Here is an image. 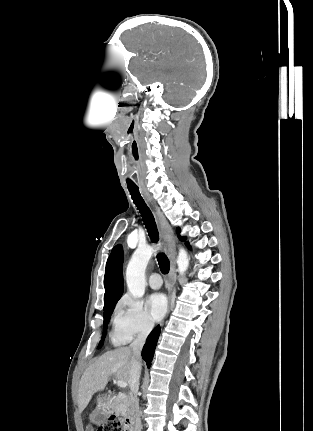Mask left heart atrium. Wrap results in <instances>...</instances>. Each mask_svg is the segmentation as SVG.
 I'll list each match as a JSON object with an SVG mask.
<instances>
[{
    "label": "left heart atrium",
    "instance_id": "1",
    "mask_svg": "<svg viewBox=\"0 0 313 431\" xmlns=\"http://www.w3.org/2000/svg\"><path fill=\"white\" fill-rule=\"evenodd\" d=\"M147 306L152 319L154 321H159L167 311L166 297L161 293L152 294L147 300Z\"/></svg>",
    "mask_w": 313,
    "mask_h": 431
}]
</instances>
